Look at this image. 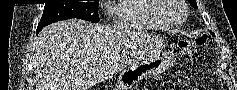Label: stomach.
<instances>
[{
  "instance_id": "0dacf381",
  "label": "stomach",
  "mask_w": 237,
  "mask_h": 90,
  "mask_svg": "<svg viewBox=\"0 0 237 90\" xmlns=\"http://www.w3.org/2000/svg\"><path fill=\"white\" fill-rule=\"evenodd\" d=\"M171 62V56L166 53L143 60L119 74L115 90H130L136 83L167 70Z\"/></svg>"
}]
</instances>
